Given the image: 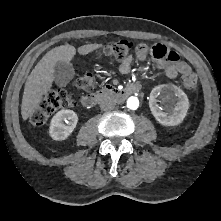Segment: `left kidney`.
I'll return each instance as SVG.
<instances>
[{
	"mask_svg": "<svg viewBox=\"0 0 221 221\" xmlns=\"http://www.w3.org/2000/svg\"><path fill=\"white\" fill-rule=\"evenodd\" d=\"M158 98L162 99V107H159L157 104ZM149 107L153 116L160 124L176 126L186 117L189 109V100L184 91L177 86L172 84L159 85L151 91Z\"/></svg>",
	"mask_w": 221,
	"mask_h": 221,
	"instance_id": "obj_1",
	"label": "left kidney"
}]
</instances>
